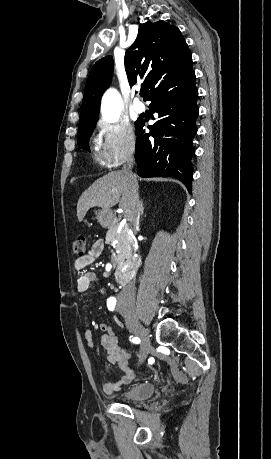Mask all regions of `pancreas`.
Here are the masks:
<instances>
[{
	"label": "pancreas",
	"mask_w": 271,
	"mask_h": 459,
	"mask_svg": "<svg viewBox=\"0 0 271 459\" xmlns=\"http://www.w3.org/2000/svg\"><path fill=\"white\" fill-rule=\"evenodd\" d=\"M125 228L121 229V231H118V226L108 229L106 239H108V241H118V243H116V249H119L120 255L129 256L131 254L133 239H131L128 229Z\"/></svg>",
	"instance_id": "obj_1"
}]
</instances>
